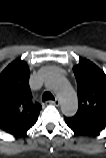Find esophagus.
Wrapping results in <instances>:
<instances>
[{"mask_svg":"<svg viewBox=\"0 0 106 158\" xmlns=\"http://www.w3.org/2000/svg\"><path fill=\"white\" fill-rule=\"evenodd\" d=\"M47 103L49 104H54L56 106H59L60 105V101L58 99H55V100H48Z\"/></svg>","mask_w":106,"mask_h":158,"instance_id":"obj_1","label":"esophagus"}]
</instances>
